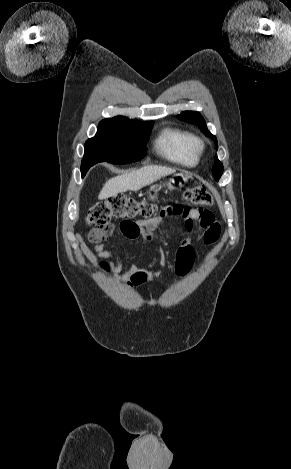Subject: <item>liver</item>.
<instances>
[{
    "label": "liver",
    "instance_id": "liver-1",
    "mask_svg": "<svg viewBox=\"0 0 291 469\" xmlns=\"http://www.w3.org/2000/svg\"><path fill=\"white\" fill-rule=\"evenodd\" d=\"M175 169L163 166H145L139 170L132 171L109 179L99 193L100 200L117 196L120 192L127 190L138 191L163 176L173 174Z\"/></svg>",
    "mask_w": 291,
    "mask_h": 469
}]
</instances>
